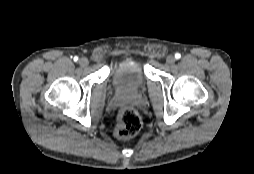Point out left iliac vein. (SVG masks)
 Masks as SVG:
<instances>
[{
    "label": "left iliac vein",
    "instance_id": "4c4485c4",
    "mask_svg": "<svg viewBox=\"0 0 254 174\" xmlns=\"http://www.w3.org/2000/svg\"><path fill=\"white\" fill-rule=\"evenodd\" d=\"M175 61H176V59H175V57L173 55H169L166 58V62L169 65H173L175 63Z\"/></svg>",
    "mask_w": 254,
    "mask_h": 174
}]
</instances>
